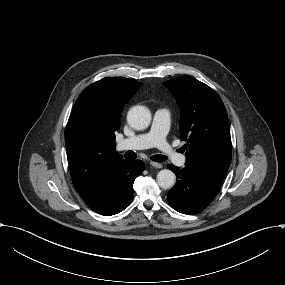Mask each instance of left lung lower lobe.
<instances>
[{
    "label": "left lung lower lobe",
    "instance_id": "1",
    "mask_svg": "<svg viewBox=\"0 0 285 285\" xmlns=\"http://www.w3.org/2000/svg\"><path fill=\"white\" fill-rule=\"evenodd\" d=\"M176 177L175 186L168 192L167 201L176 211L196 214L204 210L217 195L221 182L206 178L188 167L179 169L168 165Z\"/></svg>",
    "mask_w": 285,
    "mask_h": 285
}]
</instances>
